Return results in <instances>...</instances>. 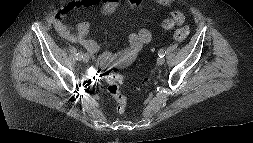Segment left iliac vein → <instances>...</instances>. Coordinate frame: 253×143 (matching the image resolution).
<instances>
[{
	"label": "left iliac vein",
	"instance_id": "4c4485c4",
	"mask_svg": "<svg viewBox=\"0 0 253 143\" xmlns=\"http://www.w3.org/2000/svg\"><path fill=\"white\" fill-rule=\"evenodd\" d=\"M164 62H165V59L163 57L162 58L160 57V58L157 59V64L158 65H163Z\"/></svg>",
	"mask_w": 253,
	"mask_h": 143
}]
</instances>
